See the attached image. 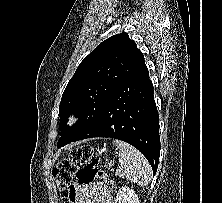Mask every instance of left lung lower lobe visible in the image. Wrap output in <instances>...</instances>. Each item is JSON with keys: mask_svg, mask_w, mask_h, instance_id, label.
Returning a JSON list of instances; mask_svg holds the SVG:
<instances>
[{"mask_svg": "<svg viewBox=\"0 0 222 203\" xmlns=\"http://www.w3.org/2000/svg\"><path fill=\"white\" fill-rule=\"evenodd\" d=\"M92 137L115 138L131 144L156 173L160 155L159 116L144 59L72 142Z\"/></svg>", "mask_w": 222, "mask_h": 203, "instance_id": "obj_1", "label": "left lung lower lobe"}]
</instances>
